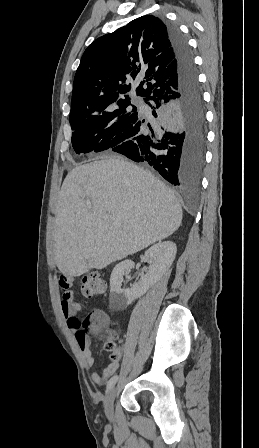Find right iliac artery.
<instances>
[{
    "instance_id": "82829eb1",
    "label": "right iliac artery",
    "mask_w": 259,
    "mask_h": 448,
    "mask_svg": "<svg viewBox=\"0 0 259 448\" xmlns=\"http://www.w3.org/2000/svg\"><path fill=\"white\" fill-rule=\"evenodd\" d=\"M117 380H118V376L117 375L111 377L110 380L107 383V390L111 389L115 385Z\"/></svg>"
}]
</instances>
